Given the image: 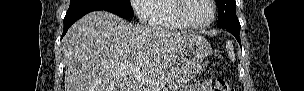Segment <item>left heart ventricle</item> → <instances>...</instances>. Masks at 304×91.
<instances>
[{"instance_id":"left-heart-ventricle-1","label":"left heart ventricle","mask_w":304,"mask_h":91,"mask_svg":"<svg viewBox=\"0 0 304 91\" xmlns=\"http://www.w3.org/2000/svg\"><path fill=\"white\" fill-rule=\"evenodd\" d=\"M184 12L194 24H205L212 17V8L207 0H187Z\"/></svg>"}]
</instances>
